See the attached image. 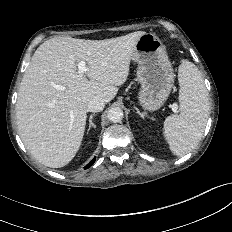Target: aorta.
Segmentation results:
<instances>
[{"label": "aorta", "instance_id": "obj_1", "mask_svg": "<svg viewBox=\"0 0 232 232\" xmlns=\"http://www.w3.org/2000/svg\"><path fill=\"white\" fill-rule=\"evenodd\" d=\"M123 110L119 107H112L107 113L108 119L113 123H118L123 119Z\"/></svg>", "mask_w": 232, "mask_h": 232}]
</instances>
